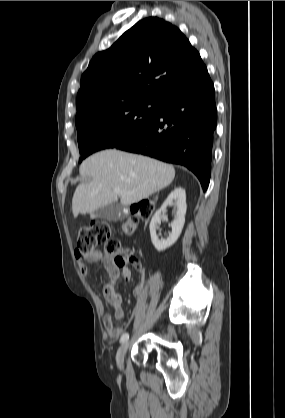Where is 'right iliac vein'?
<instances>
[{
    "mask_svg": "<svg viewBox=\"0 0 285 418\" xmlns=\"http://www.w3.org/2000/svg\"><path fill=\"white\" fill-rule=\"evenodd\" d=\"M129 348V341H125L118 349L117 355H116V361L117 365L122 368L124 356Z\"/></svg>",
    "mask_w": 285,
    "mask_h": 418,
    "instance_id": "63e3f726",
    "label": "right iliac vein"
}]
</instances>
